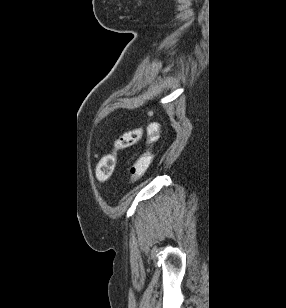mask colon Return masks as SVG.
<instances>
[{
	"mask_svg": "<svg viewBox=\"0 0 286 308\" xmlns=\"http://www.w3.org/2000/svg\"><path fill=\"white\" fill-rule=\"evenodd\" d=\"M156 130L157 128H154V131ZM143 132L144 129L142 127L135 128L123 133L115 141L112 150L104 155L97 165L96 177L99 182L105 183L110 179L117 163L118 152L122 149L129 148L137 144L142 139ZM153 142L154 140L152 139L147 140L148 146L137 156L133 162L129 174L130 183L139 181L147 172L152 160L150 145Z\"/></svg>",
	"mask_w": 286,
	"mask_h": 308,
	"instance_id": "colon-1",
	"label": "colon"
}]
</instances>
